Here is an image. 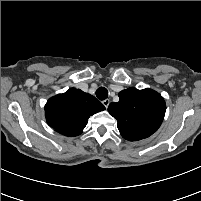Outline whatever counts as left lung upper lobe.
I'll return each instance as SVG.
<instances>
[{"label":"left lung upper lobe","mask_w":201,"mask_h":201,"mask_svg":"<svg viewBox=\"0 0 201 201\" xmlns=\"http://www.w3.org/2000/svg\"><path fill=\"white\" fill-rule=\"evenodd\" d=\"M118 95L119 102L111 103L108 111L117 119V127L123 138L138 141L158 130L166 111L165 101L158 92L131 87Z\"/></svg>","instance_id":"1"}]
</instances>
